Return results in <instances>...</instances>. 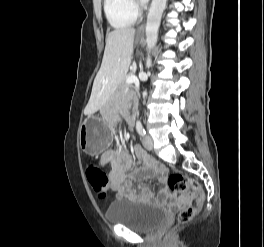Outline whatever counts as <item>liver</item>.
I'll return each instance as SVG.
<instances>
[{"instance_id": "6515ba94", "label": "liver", "mask_w": 264, "mask_h": 247, "mask_svg": "<svg viewBox=\"0 0 264 247\" xmlns=\"http://www.w3.org/2000/svg\"><path fill=\"white\" fill-rule=\"evenodd\" d=\"M134 28L115 29L107 34L102 64L94 80L85 114H93L108 101L125 78L131 64Z\"/></svg>"}]
</instances>
